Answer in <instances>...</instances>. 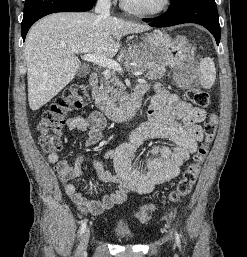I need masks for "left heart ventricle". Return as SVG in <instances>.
Wrapping results in <instances>:
<instances>
[{"label": "left heart ventricle", "mask_w": 247, "mask_h": 257, "mask_svg": "<svg viewBox=\"0 0 247 257\" xmlns=\"http://www.w3.org/2000/svg\"><path fill=\"white\" fill-rule=\"evenodd\" d=\"M130 5L141 9L157 8L162 0H126Z\"/></svg>", "instance_id": "left-heart-ventricle-1"}]
</instances>
